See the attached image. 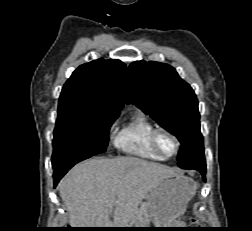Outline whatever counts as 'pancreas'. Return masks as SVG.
Masks as SVG:
<instances>
[{"mask_svg": "<svg viewBox=\"0 0 252 231\" xmlns=\"http://www.w3.org/2000/svg\"><path fill=\"white\" fill-rule=\"evenodd\" d=\"M144 220H149L148 218H144Z\"/></svg>", "mask_w": 252, "mask_h": 231, "instance_id": "obj_1", "label": "pancreas"}]
</instances>
